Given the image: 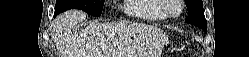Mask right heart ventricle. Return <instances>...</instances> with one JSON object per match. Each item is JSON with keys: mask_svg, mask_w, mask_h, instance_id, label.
<instances>
[{"mask_svg": "<svg viewBox=\"0 0 249 57\" xmlns=\"http://www.w3.org/2000/svg\"><path fill=\"white\" fill-rule=\"evenodd\" d=\"M162 6V0H127L124 10L129 16L139 20L163 21L167 16Z\"/></svg>", "mask_w": 249, "mask_h": 57, "instance_id": "obj_1", "label": "right heart ventricle"}]
</instances>
